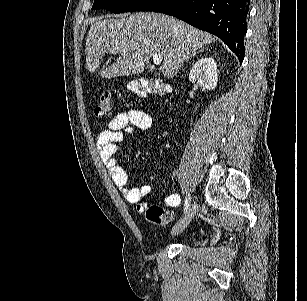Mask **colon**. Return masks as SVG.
<instances>
[{"label":"colon","instance_id":"obj_1","mask_svg":"<svg viewBox=\"0 0 307 301\" xmlns=\"http://www.w3.org/2000/svg\"><path fill=\"white\" fill-rule=\"evenodd\" d=\"M129 90L138 97H145L148 93L166 94L167 87L158 80H139L129 84ZM112 113V102L108 92L102 93L99 103L94 108V115L98 119H104ZM149 222L167 225L173 219L172 212L159 206H150L145 212Z\"/></svg>","mask_w":307,"mask_h":301}]
</instances>
